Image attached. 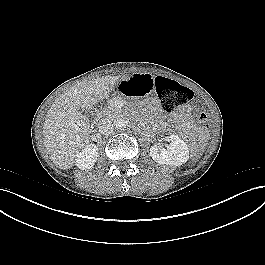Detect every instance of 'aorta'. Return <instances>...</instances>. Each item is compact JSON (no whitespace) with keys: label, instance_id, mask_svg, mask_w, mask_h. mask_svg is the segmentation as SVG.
Wrapping results in <instances>:
<instances>
[{"label":"aorta","instance_id":"obj_1","mask_svg":"<svg viewBox=\"0 0 265 265\" xmlns=\"http://www.w3.org/2000/svg\"><path fill=\"white\" fill-rule=\"evenodd\" d=\"M114 126L119 130H124L127 127V123L122 118H117L114 120Z\"/></svg>","mask_w":265,"mask_h":265}]
</instances>
